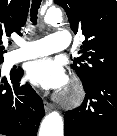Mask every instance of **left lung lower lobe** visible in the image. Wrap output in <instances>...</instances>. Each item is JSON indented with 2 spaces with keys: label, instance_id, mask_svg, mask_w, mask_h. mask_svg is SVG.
Instances as JSON below:
<instances>
[{
  "label": "left lung lower lobe",
  "instance_id": "obj_1",
  "mask_svg": "<svg viewBox=\"0 0 117 136\" xmlns=\"http://www.w3.org/2000/svg\"><path fill=\"white\" fill-rule=\"evenodd\" d=\"M84 90L82 105L65 114L64 136H117V72L97 77Z\"/></svg>",
  "mask_w": 117,
  "mask_h": 136
}]
</instances>
